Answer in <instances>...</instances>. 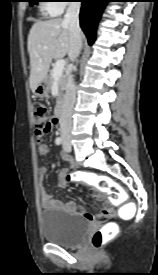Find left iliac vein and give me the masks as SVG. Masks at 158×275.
I'll return each instance as SVG.
<instances>
[{"label":"left iliac vein","instance_id":"4c4485c4","mask_svg":"<svg viewBox=\"0 0 158 275\" xmlns=\"http://www.w3.org/2000/svg\"><path fill=\"white\" fill-rule=\"evenodd\" d=\"M63 150L66 153H69L71 151V145L69 143H67L66 141H64V143H63Z\"/></svg>","mask_w":158,"mask_h":275}]
</instances>
